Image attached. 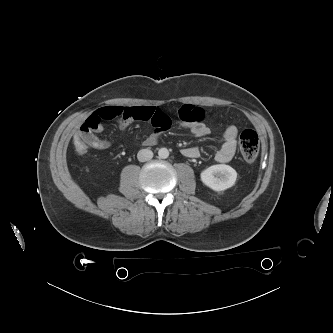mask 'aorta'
Listing matches in <instances>:
<instances>
[{"mask_svg":"<svg viewBox=\"0 0 333 333\" xmlns=\"http://www.w3.org/2000/svg\"><path fill=\"white\" fill-rule=\"evenodd\" d=\"M159 158L166 159L169 156V151L167 148H160L158 151Z\"/></svg>","mask_w":333,"mask_h":333,"instance_id":"obj_1","label":"aorta"}]
</instances>
